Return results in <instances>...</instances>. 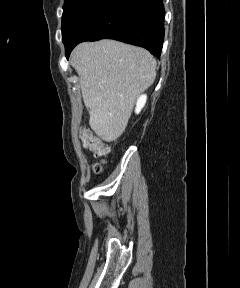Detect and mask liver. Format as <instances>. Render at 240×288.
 I'll list each match as a JSON object with an SVG mask.
<instances>
[{"instance_id": "6515ba94", "label": "liver", "mask_w": 240, "mask_h": 288, "mask_svg": "<svg viewBox=\"0 0 240 288\" xmlns=\"http://www.w3.org/2000/svg\"><path fill=\"white\" fill-rule=\"evenodd\" d=\"M156 59L140 47L104 39L75 47L71 65L80 77L90 126L105 142L118 139L134 104L156 77Z\"/></svg>"}]
</instances>
